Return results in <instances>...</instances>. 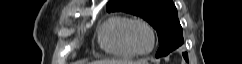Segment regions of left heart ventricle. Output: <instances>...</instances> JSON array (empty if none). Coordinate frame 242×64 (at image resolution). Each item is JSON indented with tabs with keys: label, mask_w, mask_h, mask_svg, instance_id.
Wrapping results in <instances>:
<instances>
[{
	"label": "left heart ventricle",
	"mask_w": 242,
	"mask_h": 64,
	"mask_svg": "<svg viewBox=\"0 0 242 64\" xmlns=\"http://www.w3.org/2000/svg\"><path fill=\"white\" fill-rule=\"evenodd\" d=\"M132 41L139 51H147L152 46L150 31L142 24H137L131 31Z\"/></svg>",
	"instance_id": "left-heart-ventricle-1"
}]
</instances>
